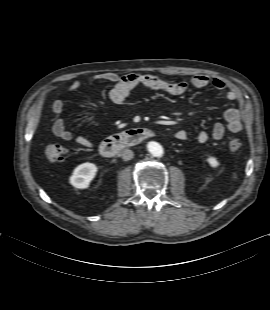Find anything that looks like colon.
Segmentation results:
<instances>
[{"mask_svg": "<svg viewBox=\"0 0 270 310\" xmlns=\"http://www.w3.org/2000/svg\"><path fill=\"white\" fill-rule=\"evenodd\" d=\"M241 141L238 138H230L228 141V147L231 151L236 152L241 148ZM65 154V149L60 144L48 145L45 149V156L49 161L57 162L62 160Z\"/></svg>", "mask_w": 270, "mask_h": 310, "instance_id": "obj_1", "label": "colon"}]
</instances>
